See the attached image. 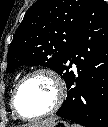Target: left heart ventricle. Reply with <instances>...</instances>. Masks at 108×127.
I'll return each mask as SVG.
<instances>
[{"label": "left heart ventricle", "mask_w": 108, "mask_h": 127, "mask_svg": "<svg viewBox=\"0 0 108 127\" xmlns=\"http://www.w3.org/2000/svg\"><path fill=\"white\" fill-rule=\"evenodd\" d=\"M55 97L56 90L53 82L45 75H36L21 86L16 105L24 116H37L52 107Z\"/></svg>", "instance_id": "b2bd125f"}]
</instances>
